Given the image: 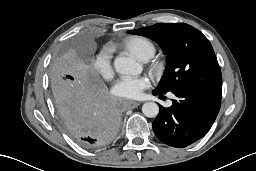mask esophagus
<instances>
[{"mask_svg": "<svg viewBox=\"0 0 256 171\" xmlns=\"http://www.w3.org/2000/svg\"><path fill=\"white\" fill-rule=\"evenodd\" d=\"M140 104H141V102L130 100V101H128L127 106L130 109H134V108H137Z\"/></svg>", "mask_w": 256, "mask_h": 171, "instance_id": "esophagus-1", "label": "esophagus"}]
</instances>
